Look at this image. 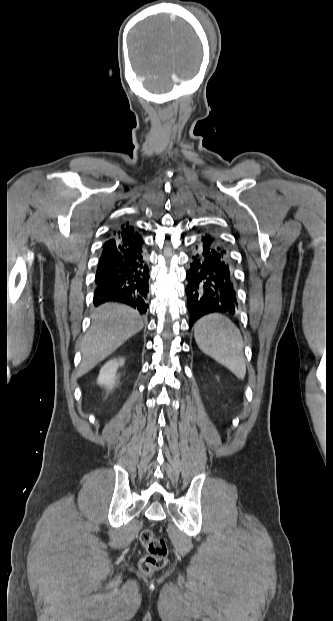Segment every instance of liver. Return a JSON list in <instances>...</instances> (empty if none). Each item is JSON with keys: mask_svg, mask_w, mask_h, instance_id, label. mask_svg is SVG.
<instances>
[{"mask_svg": "<svg viewBox=\"0 0 333 621\" xmlns=\"http://www.w3.org/2000/svg\"><path fill=\"white\" fill-rule=\"evenodd\" d=\"M144 323L137 310L106 303L92 314V326L81 344L83 356L79 373H87L106 359L127 339L142 330Z\"/></svg>", "mask_w": 333, "mask_h": 621, "instance_id": "obj_1", "label": "liver"}]
</instances>
